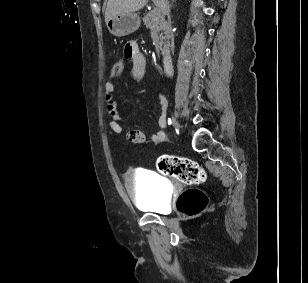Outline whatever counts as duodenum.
<instances>
[{
  "mask_svg": "<svg viewBox=\"0 0 308 283\" xmlns=\"http://www.w3.org/2000/svg\"><path fill=\"white\" fill-rule=\"evenodd\" d=\"M162 66L166 73H170L172 69V63H171V55L170 53L166 52L163 55L162 59Z\"/></svg>",
  "mask_w": 308,
  "mask_h": 283,
  "instance_id": "duodenum-1",
  "label": "duodenum"
}]
</instances>
